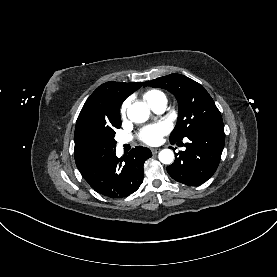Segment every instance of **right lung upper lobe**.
Returning <instances> with one entry per match:
<instances>
[{"label":"right lung upper lobe","instance_id":"cb5924a9","mask_svg":"<svg viewBox=\"0 0 277 277\" xmlns=\"http://www.w3.org/2000/svg\"><path fill=\"white\" fill-rule=\"evenodd\" d=\"M142 82H106L100 85L85 102L76 122L74 157L77 168L101 155L89 140L90 130L98 126L113 125L120 120V106Z\"/></svg>","mask_w":277,"mask_h":277}]
</instances>
